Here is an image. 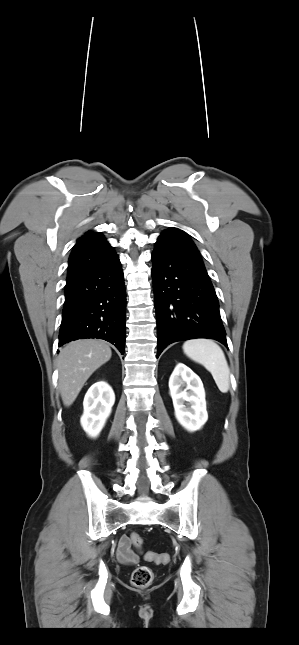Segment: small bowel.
Wrapping results in <instances>:
<instances>
[{
  "mask_svg": "<svg viewBox=\"0 0 299 645\" xmlns=\"http://www.w3.org/2000/svg\"><path fill=\"white\" fill-rule=\"evenodd\" d=\"M131 539L128 536H121L117 545V555L122 562L135 563L138 557L131 548Z\"/></svg>",
  "mask_w": 299,
  "mask_h": 645,
  "instance_id": "c3829d8e",
  "label": "small bowel"
}]
</instances>
